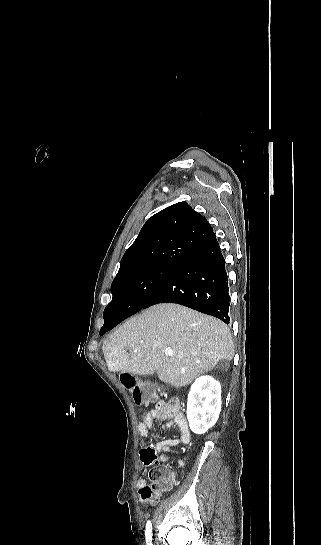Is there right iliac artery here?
<instances>
[{
    "instance_id": "1",
    "label": "right iliac artery",
    "mask_w": 321,
    "mask_h": 545,
    "mask_svg": "<svg viewBox=\"0 0 321 545\" xmlns=\"http://www.w3.org/2000/svg\"><path fill=\"white\" fill-rule=\"evenodd\" d=\"M146 543L152 545V524L150 521L146 524Z\"/></svg>"
}]
</instances>
